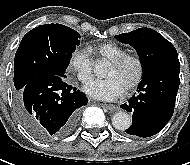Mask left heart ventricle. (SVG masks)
Listing matches in <instances>:
<instances>
[{
	"label": "left heart ventricle",
	"instance_id": "1",
	"mask_svg": "<svg viewBox=\"0 0 190 165\" xmlns=\"http://www.w3.org/2000/svg\"><path fill=\"white\" fill-rule=\"evenodd\" d=\"M136 72L137 69L133 63H129L123 68H115L110 64L105 76L107 78H116L126 88L134 80Z\"/></svg>",
	"mask_w": 190,
	"mask_h": 165
}]
</instances>
